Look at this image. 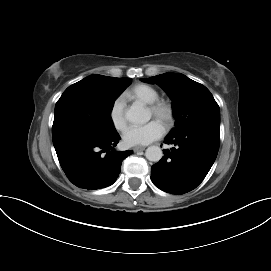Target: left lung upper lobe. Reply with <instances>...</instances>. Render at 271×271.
Here are the masks:
<instances>
[{
	"label": "left lung upper lobe",
	"instance_id": "5c2ea615",
	"mask_svg": "<svg viewBox=\"0 0 271 271\" xmlns=\"http://www.w3.org/2000/svg\"><path fill=\"white\" fill-rule=\"evenodd\" d=\"M142 81L159 85L171 98L176 127L170 134L201 125L220 126L219 106L202 84L180 73H165Z\"/></svg>",
	"mask_w": 271,
	"mask_h": 271
}]
</instances>
